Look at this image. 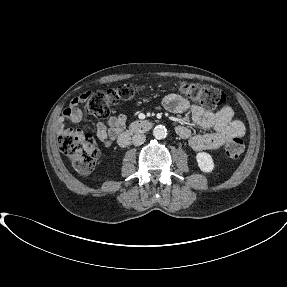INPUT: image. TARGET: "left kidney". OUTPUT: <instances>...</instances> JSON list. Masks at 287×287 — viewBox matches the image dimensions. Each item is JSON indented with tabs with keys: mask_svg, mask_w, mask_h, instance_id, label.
<instances>
[{
	"mask_svg": "<svg viewBox=\"0 0 287 287\" xmlns=\"http://www.w3.org/2000/svg\"><path fill=\"white\" fill-rule=\"evenodd\" d=\"M196 160L201 171L209 173L214 169V162L210 154L199 152L196 155Z\"/></svg>",
	"mask_w": 287,
	"mask_h": 287,
	"instance_id": "left-kidney-1",
	"label": "left kidney"
}]
</instances>
